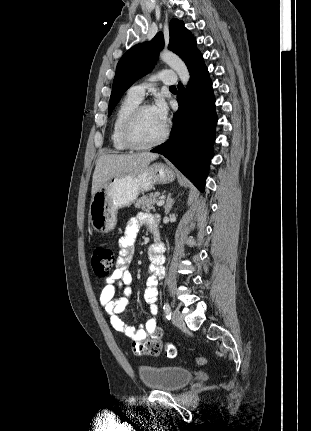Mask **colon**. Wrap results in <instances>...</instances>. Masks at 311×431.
<instances>
[{
  "label": "colon",
  "mask_w": 311,
  "mask_h": 431,
  "mask_svg": "<svg viewBox=\"0 0 311 431\" xmlns=\"http://www.w3.org/2000/svg\"><path fill=\"white\" fill-rule=\"evenodd\" d=\"M90 260L94 273L98 277H106L115 263V254L108 246L99 245L91 251ZM164 349L169 356L176 355V349L172 345H168ZM133 350L138 354L157 356L162 352L163 345L156 340L136 342L133 344ZM194 361L197 365L206 364L205 357H197Z\"/></svg>",
  "instance_id": "obj_1"
}]
</instances>
